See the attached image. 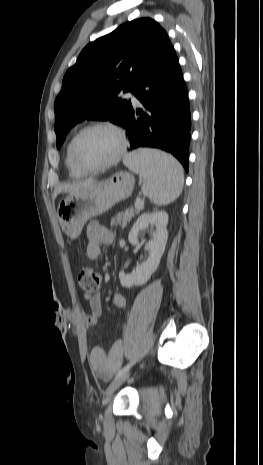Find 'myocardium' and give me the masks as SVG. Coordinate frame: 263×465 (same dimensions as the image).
I'll use <instances>...</instances> for the list:
<instances>
[{
  "instance_id": "myocardium-1",
  "label": "myocardium",
  "mask_w": 263,
  "mask_h": 465,
  "mask_svg": "<svg viewBox=\"0 0 263 465\" xmlns=\"http://www.w3.org/2000/svg\"><path fill=\"white\" fill-rule=\"evenodd\" d=\"M96 128H105V129L112 131L118 138L119 147H118L117 153L111 160L96 167H87L83 165L78 159L77 144H78L80 137L85 132L92 130V129H96ZM126 149H127V138H126L124 130L119 125L113 122H110V121H95V122H91L85 125L75 134V136L73 137L71 141L70 153H71L72 162L79 171L85 174H93V173H99V172L105 171L111 168L112 166L116 165L124 156Z\"/></svg>"
}]
</instances>
